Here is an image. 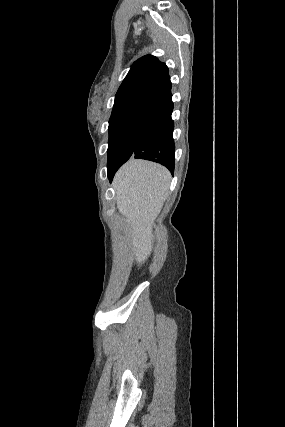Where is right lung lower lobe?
I'll use <instances>...</instances> for the list:
<instances>
[{
	"label": "right lung lower lobe",
	"instance_id": "right-lung-lower-lobe-1",
	"mask_svg": "<svg viewBox=\"0 0 285 427\" xmlns=\"http://www.w3.org/2000/svg\"><path fill=\"white\" fill-rule=\"evenodd\" d=\"M172 96L146 112L140 139L142 143L133 157L158 162L174 172L175 144L173 140L174 122ZM118 168L108 171V178L113 179Z\"/></svg>",
	"mask_w": 285,
	"mask_h": 427
}]
</instances>
